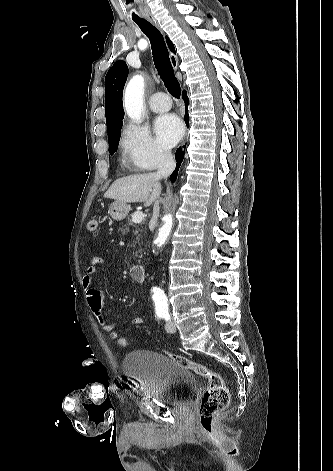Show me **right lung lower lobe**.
<instances>
[{"label":"right lung lower lobe","instance_id":"98d812e1","mask_svg":"<svg viewBox=\"0 0 333 471\" xmlns=\"http://www.w3.org/2000/svg\"><path fill=\"white\" fill-rule=\"evenodd\" d=\"M183 100L185 102V109H186V111H185V122L188 125V97H187L186 91L183 92ZM183 156H184V152H182L181 148H178L177 151H176L177 167H176L175 171L170 176L171 182H175V180L177 178V172H178V169L181 165V162L183 161Z\"/></svg>","mask_w":333,"mask_h":471}]
</instances>
